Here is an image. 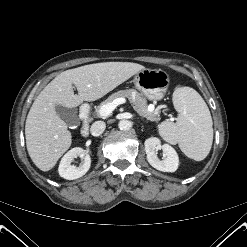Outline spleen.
Masks as SVG:
<instances>
[{"label": "spleen", "instance_id": "1", "mask_svg": "<svg viewBox=\"0 0 247 247\" xmlns=\"http://www.w3.org/2000/svg\"><path fill=\"white\" fill-rule=\"evenodd\" d=\"M172 100L179 115L176 123L163 121L159 125L160 135L171 144L178 143L187 157L195 161L205 159L213 142V122L207 104L187 86L177 87Z\"/></svg>", "mask_w": 247, "mask_h": 247}]
</instances>
